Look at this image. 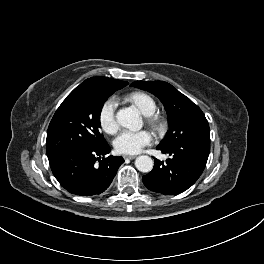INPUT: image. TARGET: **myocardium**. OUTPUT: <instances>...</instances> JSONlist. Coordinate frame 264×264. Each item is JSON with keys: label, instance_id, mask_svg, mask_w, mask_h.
<instances>
[{"label": "myocardium", "instance_id": "myocardium-1", "mask_svg": "<svg viewBox=\"0 0 264 264\" xmlns=\"http://www.w3.org/2000/svg\"><path fill=\"white\" fill-rule=\"evenodd\" d=\"M146 121L156 131H162L164 128L162 119L156 114L146 116Z\"/></svg>", "mask_w": 264, "mask_h": 264}]
</instances>
